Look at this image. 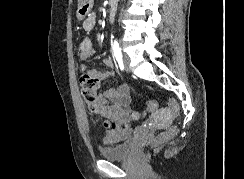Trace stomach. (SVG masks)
<instances>
[{
    "mask_svg": "<svg viewBox=\"0 0 244 179\" xmlns=\"http://www.w3.org/2000/svg\"><path fill=\"white\" fill-rule=\"evenodd\" d=\"M93 0H79L77 18L78 20H84L85 16L89 14L92 8Z\"/></svg>",
    "mask_w": 244,
    "mask_h": 179,
    "instance_id": "0dacf381",
    "label": "stomach"
}]
</instances>
